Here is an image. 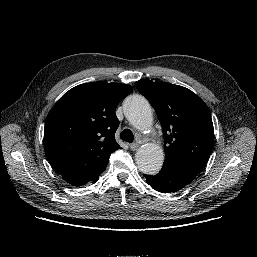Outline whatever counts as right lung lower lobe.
<instances>
[{
	"mask_svg": "<svg viewBox=\"0 0 257 257\" xmlns=\"http://www.w3.org/2000/svg\"><path fill=\"white\" fill-rule=\"evenodd\" d=\"M98 178H96L95 180H93V182H96Z\"/></svg>",
	"mask_w": 257,
	"mask_h": 257,
	"instance_id": "obj_1",
	"label": "right lung lower lobe"
}]
</instances>
